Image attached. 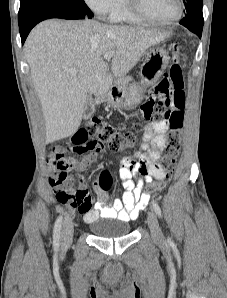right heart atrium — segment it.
<instances>
[{"label":"right heart atrium","instance_id":"d8ad5b80","mask_svg":"<svg viewBox=\"0 0 227 298\" xmlns=\"http://www.w3.org/2000/svg\"><path fill=\"white\" fill-rule=\"evenodd\" d=\"M120 0H84L86 5L99 16H109L115 11Z\"/></svg>","mask_w":227,"mask_h":298}]
</instances>
